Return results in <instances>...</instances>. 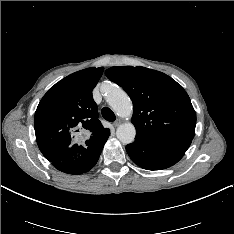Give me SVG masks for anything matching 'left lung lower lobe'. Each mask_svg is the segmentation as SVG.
<instances>
[{
  "instance_id": "obj_1",
  "label": "left lung lower lobe",
  "mask_w": 234,
  "mask_h": 234,
  "mask_svg": "<svg viewBox=\"0 0 234 234\" xmlns=\"http://www.w3.org/2000/svg\"><path fill=\"white\" fill-rule=\"evenodd\" d=\"M189 139L136 138L126 146L134 163L147 170H160L177 163L189 148Z\"/></svg>"
}]
</instances>
